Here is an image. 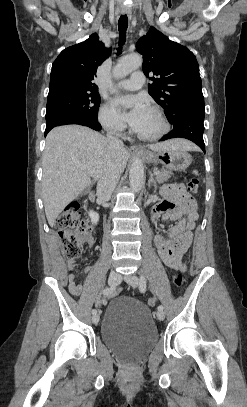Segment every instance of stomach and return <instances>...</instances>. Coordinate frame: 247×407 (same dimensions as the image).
<instances>
[{"label":"stomach","instance_id":"0dacf381","mask_svg":"<svg viewBox=\"0 0 247 407\" xmlns=\"http://www.w3.org/2000/svg\"><path fill=\"white\" fill-rule=\"evenodd\" d=\"M142 155L148 163H159L172 171H184L192 162L191 155L180 149L144 151Z\"/></svg>","mask_w":247,"mask_h":407}]
</instances>
